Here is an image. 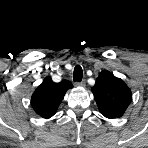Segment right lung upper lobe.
<instances>
[{
  "instance_id": "cb5924a9",
  "label": "right lung upper lobe",
  "mask_w": 148,
  "mask_h": 148,
  "mask_svg": "<svg viewBox=\"0 0 148 148\" xmlns=\"http://www.w3.org/2000/svg\"><path fill=\"white\" fill-rule=\"evenodd\" d=\"M72 87V83L67 80L54 83L48 76L34 91L31 105L42 118H51L56 113L66 91Z\"/></svg>"
}]
</instances>
